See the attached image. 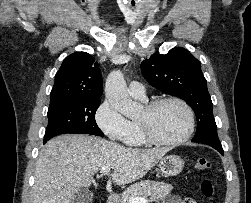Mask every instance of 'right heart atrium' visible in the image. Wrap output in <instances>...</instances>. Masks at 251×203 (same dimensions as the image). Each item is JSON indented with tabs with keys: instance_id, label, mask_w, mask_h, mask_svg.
<instances>
[{
	"instance_id": "obj_1",
	"label": "right heart atrium",
	"mask_w": 251,
	"mask_h": 203,
	"mask_svg": "<svg viewBox=\"0 0 251 203\" xmlns=\"http://www.w3.org/2000/svg\"><path fill=\"white\" fill-rule=\"evenodd\" d=\"M95 122L104 135L111 140L123 141L129 129V121L107 99L97 108Z\"/></svg>"
}]
</instances>
